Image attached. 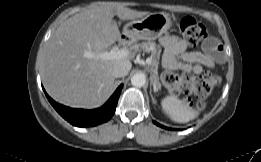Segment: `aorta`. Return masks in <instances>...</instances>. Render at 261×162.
Wrapping results in <instances>:
<instances>
[{
	"label": "aorta",
	"instance_id": "obj_1",
	"mask_svg": "<svg viewBox=\"0 0 261 162\" xmlns=\"http://www.w3.org/2000/svg\"><path fill=\"white\" fill-rule=\"evenodd\" d=\"M146 83V77L144 74L137 73L131 77V84L135 87H142Z\"/></svg>",
	"mask_w": 261,
	"mask_h": 162
}]
</instances>
